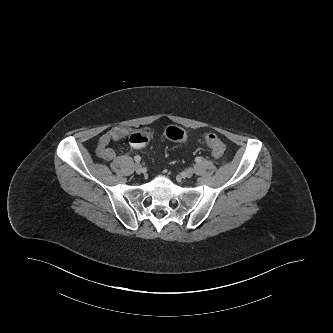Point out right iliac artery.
<instances>
[{"label":"right iliac artery","instance_id":"right-iliac-artery-1","mask_svg":"<svg viewBox=\"0 0 333 333\" xmlns=\"http://www.w3.org/2000/svg\"><path fill=\"white\" fill-rule=\"evenodd\" d=\"M134 160H135L136 162H140V161H141V157L137 155V156L134 157Z\"/></svg>","mask_w":333,"mask_h":333}]
</instances>
